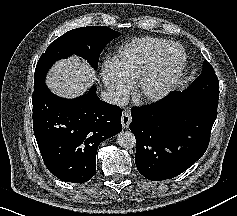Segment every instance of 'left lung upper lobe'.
Listing matches in <instances>:
<instances>
[{
  "label": "left lung upper lobe",
  "instance_id": "5c2ea615",
  "mask_svg": "<svg viewBox=\"0 0 237 216\" xmlns=\"http://www.w3.org/2000/svg\"><path fill=\"white\" fill-rule=\"evenodd\" d=\"M182 93L218 103L219 81L212 66L205 60L202 73Z\"/></svg>",
  "mask_w": 237,
  "mask_h": 216
}]
</instances>
